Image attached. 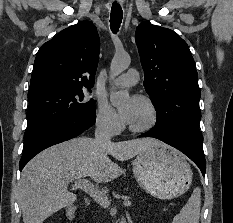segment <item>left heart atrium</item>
<instances>
[{
    "instance_id": "left-heart-atrium-1",
    "label": "left heart atrium",
    "mask_w": 233,
    "mask_h": 223,
    "mask_svg": "<svg viewBox=\"0 0 233 223\" xmlns=\"http://www.w3.org/2000/svg\"><path fill=\"white\" fill-rule=\"evenodd\" d=\"M138 100L137 97H132L118 109L120 119L125 124L130 125L134 121L138 112Z\"/></svg>"
}]
</instances>
